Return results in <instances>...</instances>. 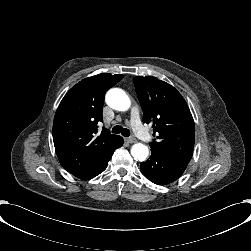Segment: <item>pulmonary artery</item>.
Instances as JSON below:
<instances>
[{
	"label": "pulmonary artery",
	"instance_id": "e3ab8cb5",
	"mask_svg": "<svg viewBox=\"0 0 251 251\" xmlns=\"http://www.w3.org/2000/svg\"><path fill=\"white\" fill-rule=\"evenodd\" d=\"M130 123L133 127V131L139 139L145 140L148 145H153L156 142V137L153 134H149V132L144 129V126L141 124L140 110L136 106L131 109Z\"/></svg>",
	"mask_w": 251,
	"mask_h": 251
}]
</instances>
